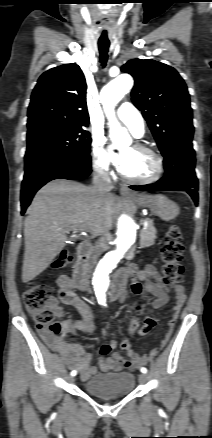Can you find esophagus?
Wrapping results in <instances>:
<instances>
[{
	"instance_id": "34e87169",
	"label": "esophagus",
	"mask_w": 212,
	"mask_h": 438,
	"mask_svg": "<svg viewBox=\"0 0 212 438\" xmlns=\"http://www.w3.org/2000/svg\"><path fill=\"white\" fill-rule=\"evenodd\" d=\"M120 193H121V195H123V196H130V195H133V193L129 190V188H128L127 186H122V187L120 188Z\"/></svg>"
}]
</instances>
